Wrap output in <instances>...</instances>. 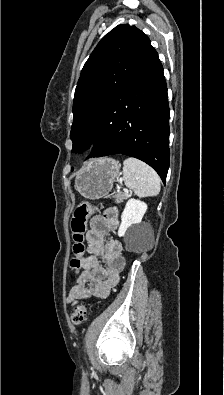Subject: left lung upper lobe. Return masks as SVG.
<instances>
[{
  "mask_svg": "<svg viewBox=\"0 0 224 395\" xmlns=\"http://www.w3.org/2000/svg\"><path fill=\"white\" fill-rule=\"evenodd\" d=\"M155 51L135 26L118 25L98 43L86 61L75 90L72 152L89 148L107 107Z\"/></svg>",
  "mask_w": 224,
  "mask_h": 395,
  "instance_id": "left-lung-upper-lobe-1",
  "label": "left lung upper lobe"
}]
</instances>
